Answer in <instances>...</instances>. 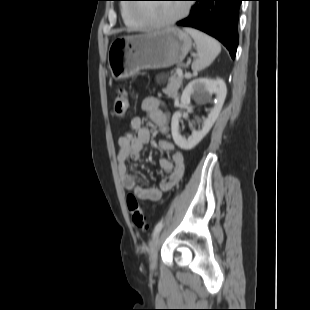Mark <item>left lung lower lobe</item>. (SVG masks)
Segmentation results:
<instances>
[{"instance_id":"0a47b994","label":"left lung lower lobe","mask_w":310,"mask_h":310,"mask_svg":"<svg viewBox=\"0 0 310 310\" xmlns=\"http://www.w3.org/2000/svg\"><path fill=\"white\" fill-rule=\"evenodd\" d=\"M191 14L178 26L199 29L218 39L235 58L238 46L239 7L243 0H192Z\"/></svg>"}]
</instances>
